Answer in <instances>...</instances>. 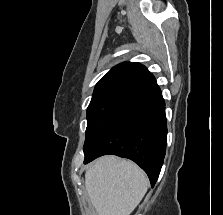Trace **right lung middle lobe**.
<instances>
[{
	"label": "right lung middle lobe",
	"instance_id": "obj_1",
	"mask_svg": "<svg viewBox=\"0 0 223 215\" xmlns=\"http://www.w3.org/2000/svg\"><path fill=\"white\" fill-rule=\"evenodd\" d=\"M145 96L127 91L108 92L92 100L87 108L84 154L91 152L102 138Z\"/></svg>",
	"mask_w": 223,
	"mask_h": 215
}]
</instances>
